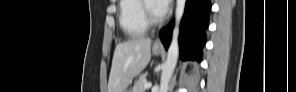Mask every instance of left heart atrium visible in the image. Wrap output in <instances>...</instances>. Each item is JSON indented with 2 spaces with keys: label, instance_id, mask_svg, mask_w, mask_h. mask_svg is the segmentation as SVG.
<instances>
[{
  "label": "left heart atrium",
  "instance_id": "left-heart-atrium-1",
  "mask_svg": "<svg viewBox=\"0 0 296 92\" xmlns=\"http://www.w3.org/2000/svg\"><path fill=\"white\" fill-rule=\"evenodd\" d=\"M170 1L158 0L153 2V11L158 16H163L169 9Z\"/></svg>",
  "mask_w": 296,
  "mask_h": 92
}]
</instances>
